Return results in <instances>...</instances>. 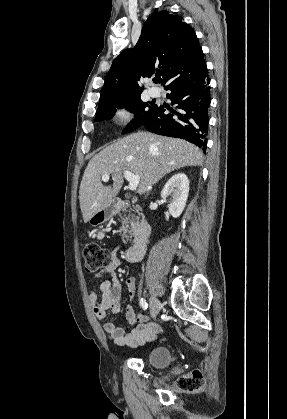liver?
<instances>
[{"mask_svg":"<svg viewBox=\"0 0 287 419\" xmlns=\"http://www.w3.org/2000/svg\"><path fill=\"white\" fill-rule=\"evenodd\" d=\"M201 150L185 140L137 132L110 144L88 163L79 190L85 223L108 206L124 183V171L140 176L139 193L156 184L166 174L186 166H200ZM104 174L112 176V186H103Z\"/></svg>","mask_w":287,"mask_h":419,"instance_id":"obj_1","label":"liver"}]
</instances>
